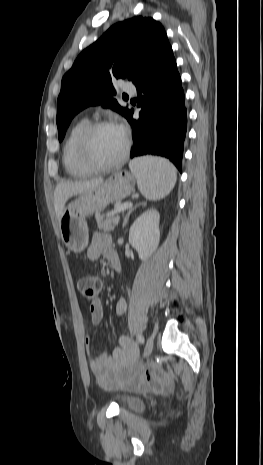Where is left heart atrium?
<instances>
[{"label": "left heart atrium", "mask_w": 263, "mask_h": 465, "mask_svg": "<svg viewBox=\"0 0 263 465\" xmlns=\"http://www.w3.org/2000/svg\"><path fill=\"white\" fill-rule=\"evenodd\" d=\"M117 128L120 130V132L124 135L125 134V129L123 126H117Z\"/></svg>", "instance_id": "39dd6f15"}]
</instances>
